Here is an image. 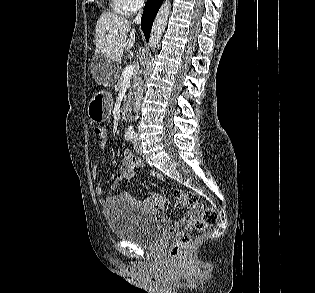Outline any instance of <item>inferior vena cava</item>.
Segmentation results:
<instances>
[{"mask_svg":"<svg viewBox=\"0 0 315 293\" xmlns=\"http://www.w3.org/2000/svg\"><path fill=\"white\" fill-rule=\"evenodd\" d=\"M141 17H142V10H140L138 12L137 16L134 19V22L136 24H139L140 21H141ZM142 86H143L142 79L140 77H137L135 79V82H134V87L136 88L135 97H134V103H133V105H134V112L136 113L135 119L138 118L139 106H140V103H141V100H142V97H143Z\"/></svg>","mask_w":315,"mask_h":293,"instance_id":"inferior-vena-cava-1","label":"inferior vena cava"}]
</instances>
